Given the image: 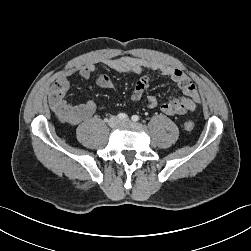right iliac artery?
Instances as JSON below:
<instances>
[{"label": "right iliac artery", "mask_w": 251, "mask_h": 251, "mask_svg": "<svg viewBox=\"0 0 251 251\" xmlns=\"http://www.w3.org/2000/svg\"><path fill=\"white\" fill-rule=\"evenodd\" d=\"M117 117H118L119 119H126V118L128 117V115L125 114V113H119V114L117 115Z\"/></svg>", "instance_id": "obj_1"}]
</instances>
